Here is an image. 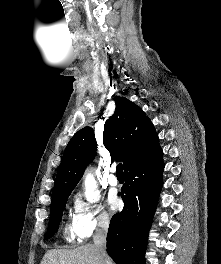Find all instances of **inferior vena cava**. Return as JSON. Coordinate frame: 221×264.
<instances>
[{
	"label": "inferior vena cava",
	"mask_w": 221,
	"mask_h": 264,
	"mask_svg": "<svg viewBox=\"0 0 221 264\" xmlns=\"http://www.w3.org/2000/svg\"><path fill=\"white\" fill-rule=\"evenodd\" d=\"M109 226L108 220H103L98 223V229L94 235L93 241L96 249L97 258L100 264H110L106 253V236Z\"/></svg>",
	"instance_id": "1"
}]
</instances>
